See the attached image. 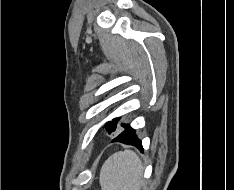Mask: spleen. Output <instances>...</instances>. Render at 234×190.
<instances>
[{
	"label": "spleen",
	"instance_id": "3e777b00",
	"mask_svg": "<svg viewBox=\"0 0 234 190\" xmlns=\"http://www.w3.org/2000/svg\"><path fill=\"white\" fill-rule=\"evenodd\" d=\"M143 165L131 150L114 153L104 163L100 172L102 190H139Z\"/></svg>",
	"mask_w": 234,
	"mask_h": 190
}]
</instances>
